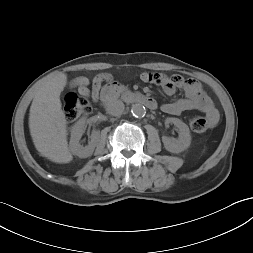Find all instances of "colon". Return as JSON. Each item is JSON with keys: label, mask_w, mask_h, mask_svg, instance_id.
Wrapping results in <instances>:
<instances>
[{"label": "colon", "mask_w": 253, "mask_h": 253, "mask_svg": "<svg viewBox=\"0 0 253 253\" xmlns=\"http://www.w3.org/2000/svg\"><path fill=\"white\" fill-rule=\"evenodd\" d=\"M90 111L89 101L85 96H78L75 93H69L64 102V116L69 122L76 120L82 114ZM190 129L194 133H202L210 126L207 118L202 116H193L189 120Z\"/></svg>", "instance_id": "5ec220e1"}]
</instances>
